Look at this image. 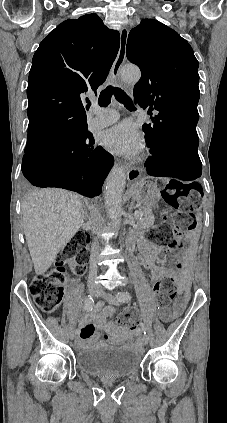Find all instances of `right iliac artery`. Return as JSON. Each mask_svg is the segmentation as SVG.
Returning a JSON list of instances; mask_svg holds the SVG:
<instances>
[{"instance_id":"82829eb1","label":"right iliac artery","mask_w":227,"mask_h":423,"mask_svg":"<svg viewBox=\"0 0 227 423\" xmlns=\"http://www.w3.org/2000/svg\"><path fill=\"white\" fill-rule=\"evenodd\" d=\"M93 306H94V299L89 295L84 302V310L89 312L92 310ZM80 332H81L80 329H76L75 333L79 335Z\"/></svg>"}]
</instances>
